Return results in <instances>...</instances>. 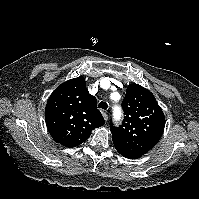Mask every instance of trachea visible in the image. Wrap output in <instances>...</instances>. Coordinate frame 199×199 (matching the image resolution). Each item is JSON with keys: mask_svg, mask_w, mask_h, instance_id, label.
Masks as SVG:
<instances>
[{"mask_svg": "<svg viewBox=\"0 0 199 199\" xmlns=\"http://www.w3.org/2000/svg\"><path fill=\"white\" fill-rule=\"evenodd\" d=\"M107 107H108V105H107L106 102H100V103L98 104V108H100V109L106 110Z\"/></svg>", "mask_w": 199, "mask_h": 199, "instance_id": "1", "label": "trachea"}]
</instances>
